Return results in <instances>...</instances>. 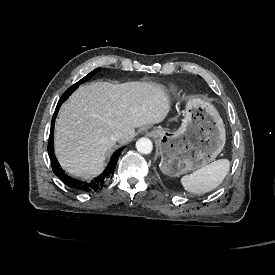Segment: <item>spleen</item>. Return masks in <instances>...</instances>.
Returning a JSON list of instances; mask_svg holds the SVG:
<instances>
[{"instance_id":"3e777b00","label":"spleen","mask_w":275,"mask_h":275,"mask_svg":"<svg viewBox=\"0 0 275 275\" xmlns=\"http://www.w3.org/2000/svg\"><path fill=\"white\" fill-rule=\"evenodd\" d=\"M230 170L228 159H219L181 178L187 192L204 194L217 188Z\"/></svg>"}]
</instances>
